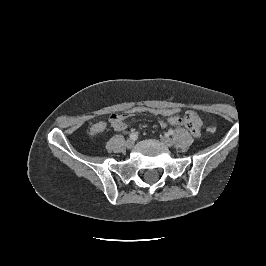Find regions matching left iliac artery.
<instances>
[{"instance_id":"1","label":"left iliac artery","mask_w":266,"mask_h":266,"mask_svg":"<svg viewBox=\"0 0 266 266\" xmlns=\"http://www.w3.org/2000/svg\"><path fill=\"white\" fill-rule=\"evenodd\" d=\"M168 134H169V135H173V134H174V131H173L172 129H170V130L168 131Z\"/></svg>"}]
</instances>
